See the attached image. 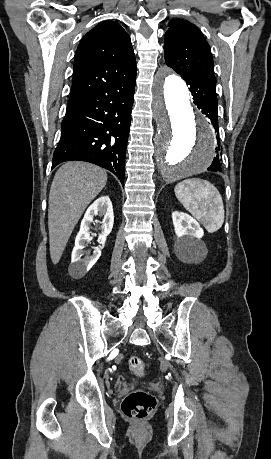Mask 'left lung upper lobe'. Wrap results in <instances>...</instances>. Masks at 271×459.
<instances>
[{"label":"left lung upper lobe","instance_id":"obj_1","mask_svg":"<svg viewBox=\"0 0 271 459\" xmlns=\"http://www.w3.org/2000/svg\"><path fill=\"white\" fill-rule=\"evenodd\" d=\"M165 62L185 77L214 76L210 46L199 28L183 19H173L165 33Z\"/></svg>","mask_w":271,"mask_h":459}]
</instances>
